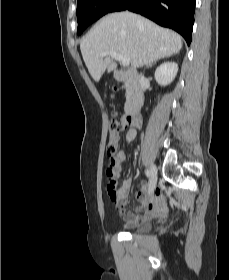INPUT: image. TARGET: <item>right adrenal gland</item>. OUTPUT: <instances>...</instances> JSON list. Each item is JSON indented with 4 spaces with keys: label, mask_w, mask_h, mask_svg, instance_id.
<instances>
[{
    "label": "right adrenal gland",
    "mask_w": 229,
    "mask_h": 280,
    "mask_svg": "<svg viewBox=\"0 0 229 280\" xmlns=\"http://www.w3.org/2000/svg\"><path fill=\"white\" fill-rule=\"evenodd\" d=\"M157 60H155L154 62L150 63L147 67H151L152 65H154L156 63Z\"/></svg>",
    "instance_id": "1"
}]
</instances>
